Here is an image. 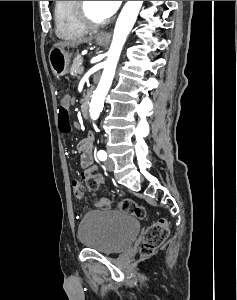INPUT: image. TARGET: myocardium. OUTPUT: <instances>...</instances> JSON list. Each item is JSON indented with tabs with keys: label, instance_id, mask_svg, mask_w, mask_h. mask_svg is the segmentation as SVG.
Masks as SVG:
<instances>
[{
	"label": "myocardium",
	"instance_id": "f54148a6",
	"mask_svg": "<svg viewBox=\"0 0 237 300\" xmlns=\"http://www.w3.org/2000/svg\"><path fill=\"white\" fill-rule=\"evenodd\" d=\"M74 13L78 22L88 29L99 28L106 25L110 20H95L86 11L85 1H75Z\"/></svg>",
	"mask_w": 237,
	"mask_h": 300
}]
</instances>
